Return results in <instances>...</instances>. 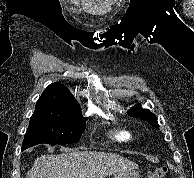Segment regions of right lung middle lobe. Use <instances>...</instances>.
I'll list each match as a JSON object with an SVG mask.
<instances>
[{
    "label": "right lung middle lobe",
    "instance_id": "obj_1",
    "mask_svg": "<svg viewBox=\"0 0 194 178\" xmlns=\"http://www.w3.org/2000/svg\"><path fill=\"white\" fill-rule=\"evenodd\" d=\"M81 113H73L47 104H36L24 136L22 150L37 144H71L79 141L86 127Z\"/></svg>",
    "mask_w": 194,
    "mask_h": 178
}]
</instances>
